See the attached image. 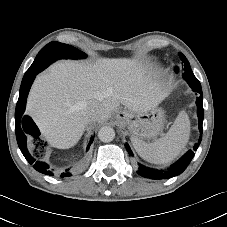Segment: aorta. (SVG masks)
<instances>
[{"label": "aorta", "instance_id": "1", "mask_svg": "<svg viewBox=\"0 0 227 227\" xmlns=\"http://www.w3.org/2000/svg\"><path fill=\"white\" fill-rule=\"evenodd\" d=\"M98 138L105 143L111 142L115 138V131L110 126H103L98 131Z\"/></svg>", "mask_w": 227, "mask_h": 227}]
</instances>
